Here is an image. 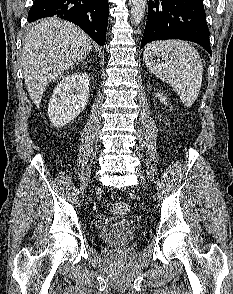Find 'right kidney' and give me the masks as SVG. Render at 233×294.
I'll return each instance as SVG.
<instances>
[{"mask_svg": "<svg viewBox=\"0 0 233 294\" xmlns=\"http://www.w3.org/2000/svg\"><path fill=\"white\" fill-rule=\"evenodd\" d=\"M90 77L79 72L64 77L53 91L48 106L49 119L55 127L74 120L86 107Z\"/></svg>", "mask_w": 233, "mask_h": 294, "instance_id": "ca27d5eb", "label": "right kidney"}]
</instances>
